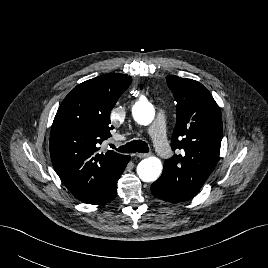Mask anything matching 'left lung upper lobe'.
<instances>
[{"mask_svg": "<svg viewBox=\"0 0 268 268\" xmlns=\"http://www.w3.org/2000/svg\"><path fill=\"white\" fill-rule=\"evenodd\" d=\"M177 102L172 150H182L166 160L158 180L191 195H197L219 159L222 138L220 108L199 82L166 77Z\"/></svg>", "mask_w": 268, "mask_h": 268, "instance_id": "1", "label": "left lung upper lobe"}]
</instances>
